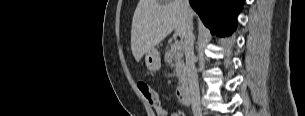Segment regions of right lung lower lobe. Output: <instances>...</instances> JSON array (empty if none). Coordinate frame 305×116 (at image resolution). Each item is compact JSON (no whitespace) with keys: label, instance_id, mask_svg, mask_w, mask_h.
<instances>
[{"label":"right lung lower lobe","instance_id":"1","mask_svg":"<svg viewBox=\"0 0 305 116\" xmlns=\"http://www.w3.org/2000/svg\"><path fill=\"white\" fill-rule=\"evenodd\" d=\"M203 23L218 35H230L244 0H189Z\"/></svg>","mask_w":305,"mask_h":116}]
</instances>
